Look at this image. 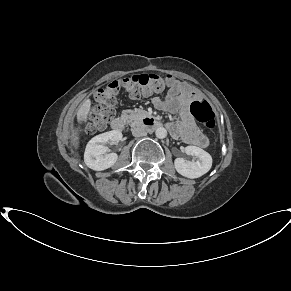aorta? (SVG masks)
Returning a JSON list of instances; mask_svg holds the SVG:
<instances>
[{
  "mask_svg": "<svg viewBox=\"0 0 291 291\" xmlns=\"http://www.w3.org/2000/svg\"><path fill=\"white\" fill-rule=\"evenodd\" d=\"M156 137L159 139H163L167 136V130L164 127H159L156 129Z\"/></svg>",
  "mask_w": 291,
  "mask_h": 291,
  "instance_id": "aorta-1",
  "label": "aorta"
}]
</instances>
